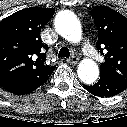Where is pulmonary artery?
<instances>
[{
    "instance_id": "obj_1",
    "label": "pulmonary artery",
    "mask_w": 127,
    "mask_h": 127,
    "mask_svg": "<svg viewBox=\"0 0 127 127\" xmlns=\"http://www.w3.org/2000/svg\"><path fill=\"white\" fill-rule=\"evenodd\" d=\"M82 52L89 60L98 59V55L87 40L82 42Z\"/></svg>"
}]
</instances>
